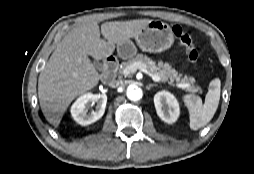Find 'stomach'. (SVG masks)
Listing matches in <instances>:
<instances>
[{
    "instance_id": "obj_1",
    "label": "stomach",
    "mask_w": 254,
    "mask_h": 174,
    "mask_svg": "<svg viewBox=\"0 0 254 174\" xmlns=\"http://www.w3.org/2000/svg\"><path fill=\"white\" fill-rule=\"evenodd\" d=\"M137 45L144 52L157 53L169 49L174 37L170 26L160 20L151 21L136 37ZM118 55L131 58L136 53V46L131 40L117 45Z\"/></svg>"
}]
</instances>
